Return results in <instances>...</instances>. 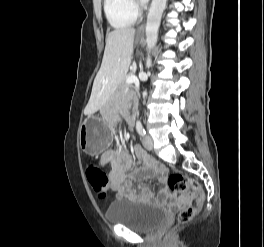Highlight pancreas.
<instances>
[{
    "label": "pancreas",
    "instance_id": "1",
    "mask_svg": "<svg viewBox=\"0 0 264 247\" xmlns=\"http://www.w3.org/2000/svg\"><path fill=\"white\" fill-rule=\"evenodd\" d=\"M132 75H133V73H129L128 75H126L125 80L120 84V86L118 88V94L123 95L126 92H128L129 90L133 89V86L131 84L126 83V79Z\"/></svg>",
    "mask_w": 264,
    "mask_h": 247
}]
</instances>
